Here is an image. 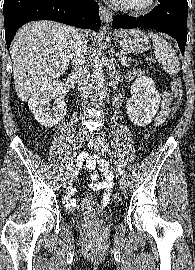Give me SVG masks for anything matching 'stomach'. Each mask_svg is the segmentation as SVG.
I'll list each match as a JSON object with an SVG mask.
<instances>
[{"instance_id": "1", "label": "stomach", "mask_w": 195, "mask_h": 270, "mask_svg": "<svg viewBox=\"0 0 195 270\" xmlns=\"http://www.w3.org/2000/svg\"><path fill=\"white\" fill-rule=\"evenodd\" d=\"M119 45L129 53H143L149 49V40L139 29L121 30L116 33Z\"/></svg>"}]
</instances>
